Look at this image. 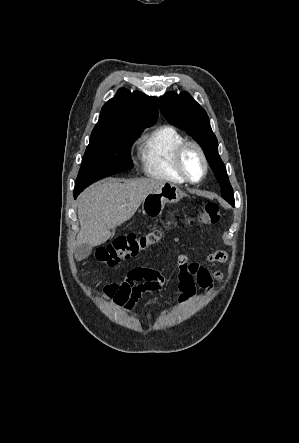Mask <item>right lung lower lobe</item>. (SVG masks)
<instances>
[{
  "mask_svg": "<svg viewBox=\"0 0 299 443\" xmlns=\"http://www.w3.org/2000/svg\"><path fill=\"white\" fill-rule=\"evenodd\" d=\"M80 192H74V198L76 199V197L79 195Z\"/></svg>",
  "mask_w": 299,
  "mask_h": 443,
  "instance_id": "1",
  "label": "right lung lower lobe"
}]
</instances>
